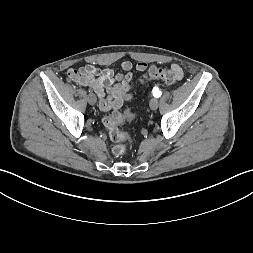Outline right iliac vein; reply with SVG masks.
<instances>
[{"mask_svg":"<svg viewBox=\"0 0 253 253\" xmlns=\"http://www.w3.org/2000/svg\"><path fill=\"white\" fill-rule=\"evenodd\" d=\"M96 101H97V98L94 94H89L88 95L89 104L94 105L96 103Z\"/></svg>","mask_w":253,"mask_h":253,"instance_id":"right-iliac-vein-1","label":"right iliac vein"}]
</instances>
